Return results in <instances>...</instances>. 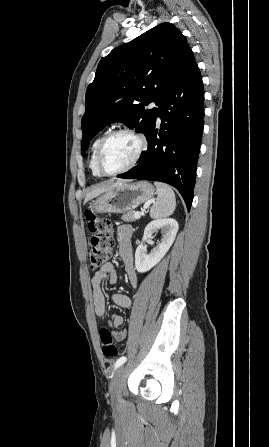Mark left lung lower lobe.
I'll list each match as a JSON object with an SVG mask.
<instances>
[{"label": "left lung lower lobe", "mask_w": 269, "mask_h": 447, "mask_svg": "<svg viewBox=\"0 0 269 447\" xmlns=\"http://www.w3.org/2000/svg\"><path fill=\"white\" fill-rule=\"evenodd\" d=\"M203 101L200 70L189 48L145 135L147 151L141 154L136 167L118 177L168 183L180 192L189 210L203 132Z\"/></svg>", "instance_id": "0a47b994"}]
</instances>
